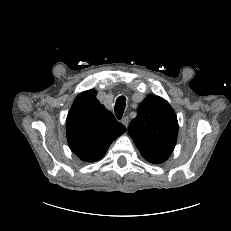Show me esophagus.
Listing matches in <instances>:
<instances>
[{
    "label": "esophagus",
    "mask_w": 231,
    "mask_h": 231,
    "mask_svg": "<svg viewBox=\"0 0 231 231\" xmlns=\"http://www.w3.org/2000/svg\"><path fill=\"white\" fill-rule=\"evenodd\" d=\"M122 123L125 127H128V124H129V118L127 116H125L123 119H122Z\"/></svg>",
    "instance_id": "34e87169"
}]
</instances>
